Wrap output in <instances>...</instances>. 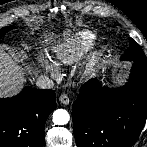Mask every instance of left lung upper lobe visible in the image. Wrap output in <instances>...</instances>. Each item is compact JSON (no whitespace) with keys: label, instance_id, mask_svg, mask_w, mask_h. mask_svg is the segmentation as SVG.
Masks as SVG:
<instances>
[{"label":"left lung upper lobe","instance_id":"5c2ea615","mask_svg":"<svg viewBox=\"0 0 147 147\" xmlns=\"http://www.w3.org/2000/svg\"><path fill=\"white\" fill-rule=\"evenodd\" d=\"M129 40V48L125 51L124 55H122L121 60L133 61L147 66V58L142 48L132 38Z\"/></svg>","mask_w":147,"mask_h":147}]
</instances>
